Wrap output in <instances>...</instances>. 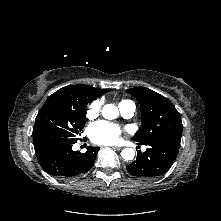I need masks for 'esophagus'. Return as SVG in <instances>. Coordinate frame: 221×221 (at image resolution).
Returning <instances> with one entry per match:
<instances>
[{
  "mask_svg": "<svg viewBox=\"0 0 221 221\" xmlns=\"http://www.w3.org/2000/svg\"><path fill=\"white\" fill-rule=\"evenodd\" d=\"M113 149L119 151L122 149V147H113Z\"/></svg>",
  "mask_w": 221,
  "mask_h": 221,
  "instance_id": "obj_1",
  "label": "esophagus"
}]
</instances>
